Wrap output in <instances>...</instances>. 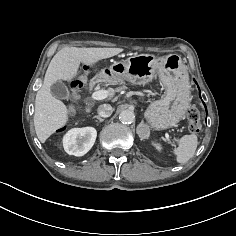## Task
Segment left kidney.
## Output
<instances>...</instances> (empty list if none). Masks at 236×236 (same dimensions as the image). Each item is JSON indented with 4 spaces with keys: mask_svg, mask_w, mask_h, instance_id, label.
<instances>
[{
    "mask_svg": "<svg viewBox=\"0 0 236 236\" xmlns=\"http://www.w3.org/2000/svg\"><path fill=\"white\" fill-rule=\"evenodd\" d=\"M156 146L157 149H160L159 146H157L156 144H154Z\"/></svg>",
    "mask_w": 236,
    "mask_h": 236,
    "instance_id": "1",
    "label": "left kidney"
}]
</instances>
